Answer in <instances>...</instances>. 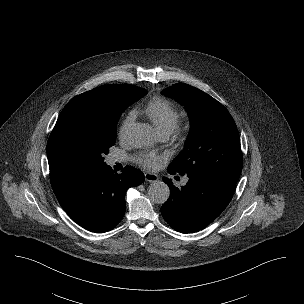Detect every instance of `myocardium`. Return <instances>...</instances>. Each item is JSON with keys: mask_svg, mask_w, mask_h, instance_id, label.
Masks as SVG:
<instances>
[{"mask_svg": "<svg viewBox=\"0 0 304 304\" xmlns=\"http://www.w3.org/2000/svg\"><path fill=\"white\" fill-rule=\"evenodd\" d=\"M187 129H188V126L186 123L177 121L173 130L177 136L181 137V136L185 135V133L187 132Z\"/></svg>", "mask_w": 304, "mask_h": 304, "instance_id": "f54148a6", "label": "myocardium"}]
</instances>
